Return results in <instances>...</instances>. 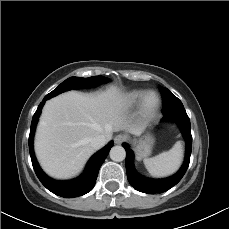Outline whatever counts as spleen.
<instances>
[{
	"label": "spleen",
	"instance_id": "spleen-1",
	"mask_svg": "<svg viewBox=\"0 0 229 229\" xmlns=\"http://www.w3.org/2000/svg\"><path fill=\"white\" fill-rule=\"evenodd\" d=\"M183 146L179 141L169 150L144 159L148 172L156 177H165L176 172L182 162Z\"/></svg>",
	"mask_w": 229,
	"mask_h": 229
}]
</instances>
